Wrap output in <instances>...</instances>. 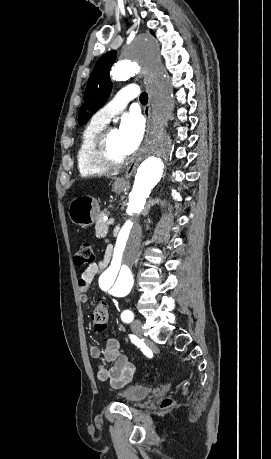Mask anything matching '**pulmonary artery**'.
I'll list each match as a JSON object with an SVG mask.
<instances>
[{"label": "pulmonary artery", "mask_w": 271, "mask_h": 459, "mask_svg": "<svg viewBox=\"0 0 271 459\" xmlns=\"http://www.w3.org/2000/svg\"><path fill=\"white\" fill-rule=\"evenodd\" d=\"M128 89H119L117 95L113 96V100L101 108L94 118L101 124H107L110 119L116 114L120 113L130 103V98H136L138 91L134 88L135 84L130 82Z\"/></svg>", "instance_id": "1"}]
</instances>
